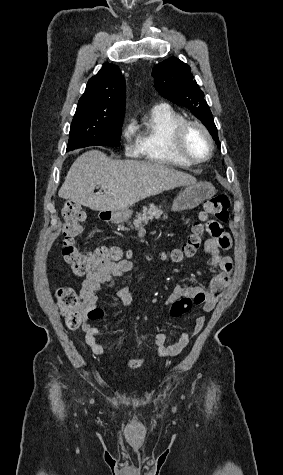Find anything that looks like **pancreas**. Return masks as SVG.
<instances>
[{"mask_svg":"<svg viewBox=\"0 0 283 475\" xmlns=\"http://www.w3.org/2000/svg\"><path fill=\"white\" fill-rule=\"evenodd\" d=\"M148 212V218H146V216H142V214H138V216H136L137 220H134L133 224H135V226H138V224H142V222H147V220H152V218H156V220H158V218H161L162 214H164L163 210H161V206H159V208H156V206H153V204H151L150 210H148ZM144 214H146V212H144ZM167 218V214H164L163 220H167Z\"/></svg>","mask_w":283,"mask_h":475,"instance_id":"obj_1","label":"pancreas"}]
</instances>
